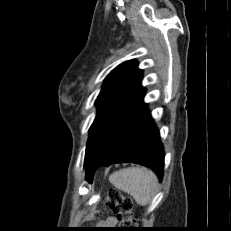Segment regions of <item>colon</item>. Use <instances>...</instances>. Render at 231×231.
<instances>
[{
    "label": "colon",
    "mask_w": 231,
    "mask_h": 231,
    "mask_svg": "<svg viewBox=\"0 0 231 231\" xmlns=\"http://www.w3.org/2000/svg\"><path fill=\"white\" fill-rule=\"evenodd\" d=\"M105 205L116 215L117 220L124 226L134 223L133 202L119 190L110 188L106 192Z\"/></svg>",
    "instance_id": "5ec220e1"
}]
</instances>
